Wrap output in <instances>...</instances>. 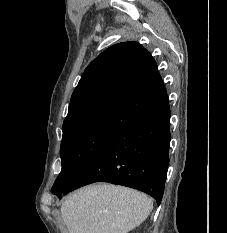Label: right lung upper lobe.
Listing matches in <instances>:
<instances>
[{
  "label": "right lung upper lobe",
  "instance_id": "cb5924a9",
  "mask_svg": "<svg viewBox=\"0 0 227 233\" xmlns=\"http://www.w3.org/2000/svg\"><path fill=\"white\" fill-rule=\"evenodd\" d=\"M167 102L150 53L137 42L119 43L85 69L72 94L63 134L80 129L119 132Z\"/></svg>",
  "mask_w": 227,
  "mask_h": 233
}]
</instances>
